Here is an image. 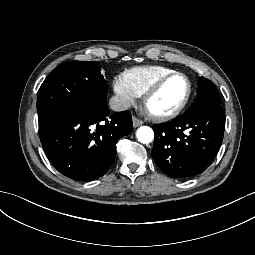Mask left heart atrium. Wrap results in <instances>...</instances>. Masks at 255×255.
I'll use <instances>...</instances> for the list:
<instances>
[{
	"mask_svg": "<svg viewBox=\"0 0 255 255\" xmlns=\"http://www.w3.org/2000/svg\"><path fill=\"white\" fill-rule=\"evenodd\" d=\"M116 117H117V118H120V117H122V114H121V113H118V114H116Z\"/></svg>",
	"mask_w": 255,
	"mask_h": 255,
	"instance_id": "1",
	"label": "left heart atrium"
}]
</instances>
